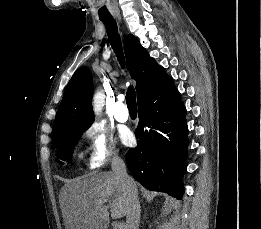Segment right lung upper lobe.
<instances>
[{"mask_svg":"<svg viewBox=\"0 0 261 229\" xmlns=\"http://www.w3.org/2000/svg\"><path fill=\"white\" fill-rule=\"evenodd\" d=\"M124 50L131 77L137 82V99L169 77L135 36L129 34L124 38ZM92 90L90 70L87 67L79 68L70 79L60 103L53 126L52 148L60 146L64 141L61 128L92 124Z\"/></svg>","mask_w":261,"mask_h":229,"instance_id":"cb5924a9","label":"right lung upper lobe"}]
</instances>
